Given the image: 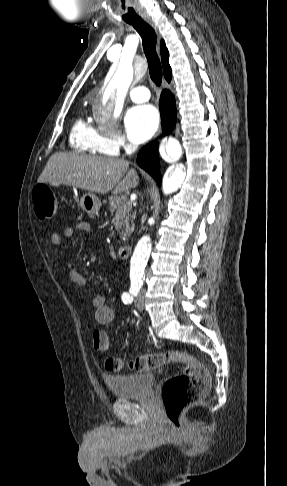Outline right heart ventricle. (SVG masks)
Returning <instances> with one entry per match:
<instances>
[{
    "label": "right heart ventricle",
    "mask_w": 287,
    "mask_h": 486,
    "mask_svg": "<svg viewBox=\"0 0 287 486\" xmlns=\"http://www.w3.org/2000/svg\"><path fill=\"white\" fill-rule=\"evenodd\" d=\"M100 137L101 134L90 123L80 118L71 129L70 144L81 152L103 153L98 147Z\"/></svg>",
    "instance_id": "obj_1"
}]
</instances>
